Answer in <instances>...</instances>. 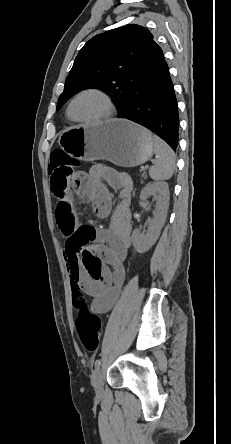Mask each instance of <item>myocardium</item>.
I'll return each mask as SVG.
<instances>
[{"label": "myocardium", "mask_w": 231, "mask_h": 444, "mask_svg": "<svg viewBox=\"0 0 231 444\" xmlns=\"http://www.w3.org/2000/svg\"><path fill=\"white\" fill-rule=\"evenodd\" d=\"M86 93H94L99 95L105 102L106 104V112L102 115H100L97 118L91 119V120H85V119H79L76 118L73 114L72 108L74 105V102L83 94ZM68 116L70 117L71 120H73L74 122H78V123H82V124H97V123H101L104 122L108 119H110L115 112V105L113 103L112 98L102 89L100 88H96V87H89V88H85L81 91H79L70 101L69 105H68Z\"/></svg>", "instance_id": "myocardium-1"}]
</instances>
